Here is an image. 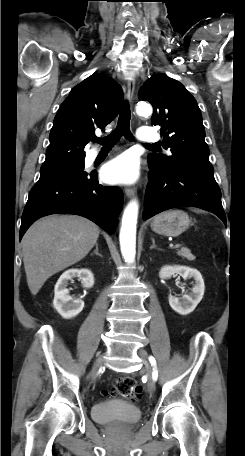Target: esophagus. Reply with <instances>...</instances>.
<instances>
[{
  "instance_id": "obj_1",
  "label": "esophagus",
  "mask_w": 245,
  "mask_h": 456,
  "mask_svg": "<svg viewBox=\"0 0 245 456\" xmlns=\"http://www.w3.org/2000/svg\"><path fill=\"white\" fill-rule=\"evenodd\" d=\"M135 93V80L130 79L127 82V99L131 103ZM125 194L127 197H133L136 194V189L134 187H126Z\"/></svg>"
}]
</instances>
